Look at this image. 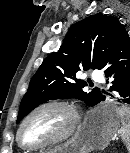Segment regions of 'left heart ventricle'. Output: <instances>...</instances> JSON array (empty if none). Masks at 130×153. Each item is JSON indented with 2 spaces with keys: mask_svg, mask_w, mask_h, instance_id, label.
Wrapping results in <instances>:
<instances>
[{
  "mask_svg": "<svg viewBox=\"0 0 130 153\" xmlns=\"http://www.w3.org/2000/svg\"><path fill=\"white\" fill-rule=\"evenodd\" d=\"M70 116L59 107L38 111L25 124L21 140L27 145H38L60 136L68 127Z\"/></svg>",
  "mask_w": 130,
  "mask_h": 153,
  "instance_id": "b2bd125f",
  "label": "left heart ventricle"
}]
</instances>
